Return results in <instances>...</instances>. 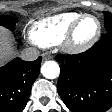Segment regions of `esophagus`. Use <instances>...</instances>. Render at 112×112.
<instances>
[{
    "label": "esophagus",
    "mask_w": 112,
    "mask_h": 112,
    "mask_svg": "<svg viewBox=\"0 0 112 112\" xmlns=\"http://www.w3.org/2000/svg\"><path fill=\"white\" fill-rule=\"evenodd\" d=\"M51 58H52V56L49 55V54H44V55H43V59H44V60H48V59H51Z\"/></svg>",
    "instance_id": "1"
}]
</instances>
